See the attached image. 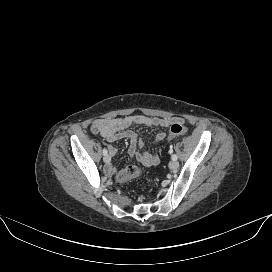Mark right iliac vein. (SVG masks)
Listing matches in <instances>:
<instances>
[{
    "instance_id": "obj_1",
    "label": "right iliac vein",
    "mask_w": 272,
    "mask_h": 272,
    "mask_svg": "<svg viewBox=\"0 0 272 272\" xmlns=\"http://www.w3.org/2000/svg\"><path fill=\"white\" fill-rule=\"evenodd\" d=\"M103 160L105 163H109L110 162V156L109 155H104Z\"/></svg>"
}]
</instances>
